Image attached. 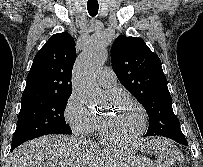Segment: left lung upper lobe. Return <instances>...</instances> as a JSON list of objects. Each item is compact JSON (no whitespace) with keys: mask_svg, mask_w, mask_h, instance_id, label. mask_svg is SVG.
Returning a JSON list of instances; mask_svg holds the SVG:
<instances>
[{"mask_svg":"<svg viewBox=\"0 0 203 167\" xmlns=\"http://www.w3.org/2000/svg\"><path fill=\"white\" fill-rule=\"evenodd\" d=\"M111 62L119 81L143 105L149 116L145 136L183 135L157 54L142 39L121 35L112 45Z\"/></svg>","mask_w":203,"mask_h":167,"instance_id":"obj_1","label":"left lung upper lobe"}]
</instances>
